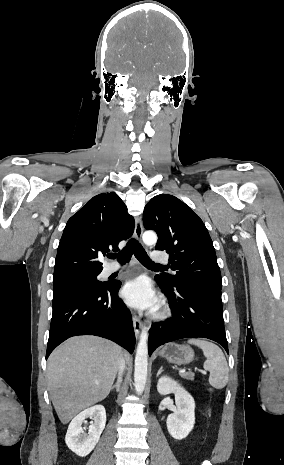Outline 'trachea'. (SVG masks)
Returning a JSON list of instances; mask_svg holds the SVG:
<instances>
[{
	"label": "trachea",
	"mask_w": 284,
	"mask_h": 465,
	"mask_svg": "<svg viewBox=\"0 0 284 465\" xmlns=\"http://www.w3.org/2000/svg\"><path fill=\"white\" fill-rule=\"evenodd\" d=\"M134 253L135 257L141 262L143 265H146L149 268L160 269V270H167L168 266L160 265L158 263H154L147 253L145 252L142 245L135 239H130L126 244L121 252L117 254H111L108 258H117V260L121 264H125L130 261L132 254Z\"/></svg>",
	"instance_id": "1"
}]
</instances>
